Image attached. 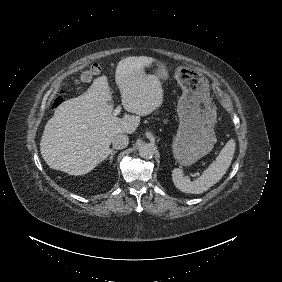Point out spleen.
Listing matches in <instances>:
<instances>
[{"mask_svg":"<svg viewBox=\"0 0 282 282\" xmlns=\"http://www.w3.org/2000/svg\"><path fill=\"white\" fill-rule=\"evenodd\" d=\"M235 147V139H229L215 161L194 182L190 180L189 175H184L182 169L175 168L173 170V181L177 188L185 193L201 194L207 191L226 174L231 165Z\"/></svg>","mask_w":282,"mask_h":282,"instance_id":"spleen-1","label":"spleen"}]
</instances>
